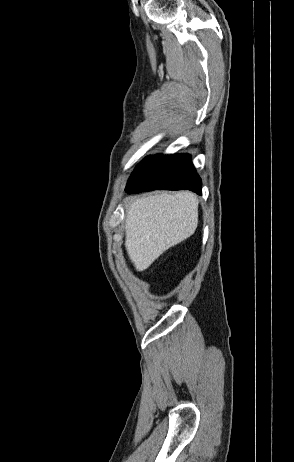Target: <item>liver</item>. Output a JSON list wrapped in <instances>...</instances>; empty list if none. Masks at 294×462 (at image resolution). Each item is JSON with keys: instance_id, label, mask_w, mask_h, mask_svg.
<instances>
[{"instance_id": "6515ba94", "label": "liver", "mask_w": 294, "mask_h": 462, "mask_svg": "<svg viewBox=\"0 0 294 462\" xmlns=\"http://www.w3.org/2000/svg\"><path fill=\"white\" fill-rule=\"evenodd\" d=\"M198 199L189 191L142 197L127 209L125 247L137 271L194 234Z\"/></svg>"}]
</instances>
